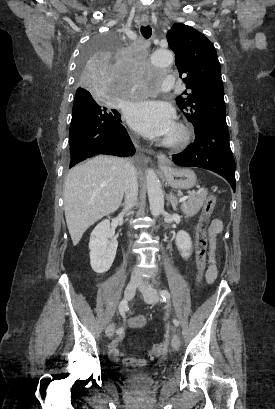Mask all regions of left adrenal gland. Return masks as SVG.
Listing matches in <instances>:
<instances>
[{
    "label": "left adrenal gland",
    "instance_id": "a2214340",
    "mask_svg": "<svg viewBox=\"0 0 275 409\" xmlns=\"http://www.w3.org/2000/svg\"><path fill=\"white\" fill-rule=\"evenodd\" d=\"M170 202L173 207V211H177L176 207L178 205V198L174 196L173 192H170L169 196H167V207L170 205Z\"/></svg>",
    "mask_w": 275,
    "mask_h": 409
}]
</instances>
